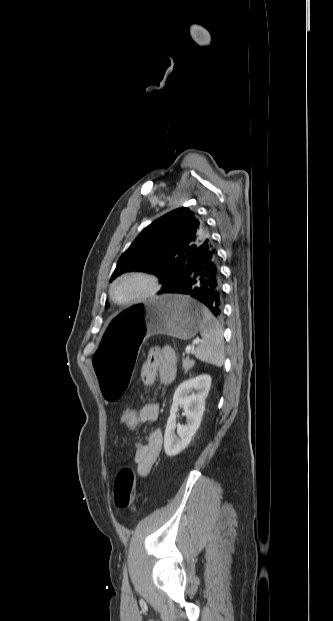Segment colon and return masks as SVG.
Masks as SVG:
<instances>
[{
	"instance_id": "colon-1",
	"label": "colon",
	"mask_w": 333,
	"mask_h": 621,
	"mask_svg": "<svg viewBox=\"0 0 333 621\" xmlns=\"http://www.w3.org/2000/svg\"><path fill=\"white\" fill-rule=\"evenodd\" d=\"M140 410L126 405L121 413L122 423L130 429L139 424ZM135 474L129 467L122 468L116 475L114 482V500L120 509L135 510Z\"/></svg>"
}]
</instances>
